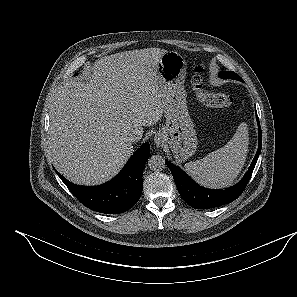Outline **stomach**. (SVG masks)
<instances>
[{
	"label": "stomach",
	"mask_w": 297,
	"mask_h": 297,
	"mask_svg": "<svg viewBox=\"0 0 297 297\" xmlns=\"http://www.w3.org/2000/svg\"><path fill=\"white\" fill-rule=\"evenodd\" d=\"M187 62L175 51H167L157 65V75L165 124L157 137L169 146L179 162L189 159L197 149L195 124L189 114L184 87Z\"/></svg>",
	"instance_id": "stomach-1"
}]
</instances>
